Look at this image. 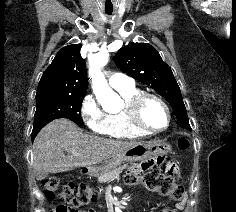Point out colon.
<instances>
[{
    "label": "colon",
    "instance_id": "obj_1",
    "mask_svg": "<svg viewBox=\"0 0 236 212\" xmlns=\"http://www.w3.org/2000/svg\"><path fill=\"white\" fill-rule=\"evenodd\" d=\"M189 146L190 143L186 137L178 140L180 150L186 151ZM125 180L130 185L141 183L147 190L167 196L173 202H179L184 197L183 186L175 176L174 165L168 158L162 157L156 162H144L140 167L131 168ZM60 182V178L56 176H48L42 180L41 186L46 199H54ZM59 196L63 204L55 207L52 212H79V208L96 200L97 193L84 182L70 181L63 185Z\"/></svg>",
    "mask_w": 236,
    "mask_h": 212
}]
</instances>
